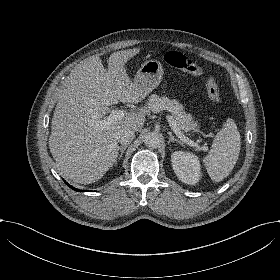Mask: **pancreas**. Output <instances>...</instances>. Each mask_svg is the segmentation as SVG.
<instances>
[{
	"label": "pancreas",
	"mask_w": 280,
	"mask_h": 280,
	"mask_svg": "<svg viewBox=\"0 0 280 280\" xmlns=\"http://www.w3.org/2000/svg\"><path fill=\"white\" fill-rule=\"evenodd\" d=\"M148 112L159 113L163 110L171 112L173 119L177 123L180 130L190 131L197 127V124L192 120V117L184 111V107L176 100H170L163 96L160 97L156 94H152L148 98L147 102Z\"/></svg>",
	"instance_id": "1"
}]
</instances>
